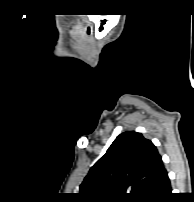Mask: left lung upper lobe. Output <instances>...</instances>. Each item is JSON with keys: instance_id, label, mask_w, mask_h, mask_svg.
Wrapping results in <instances>:
<instances>
[{"instance_id": "left-lung-upper-lobe-1", "label": "left lung upper lobe", "mask_w": 194, "mask_h": 202, "mask_svg": "<svg viewBox=\"0 0 194 202\" xmlns=\"http://www.w3.org/2000/svg\"><path fill=\"white\" fill-rule=\"evenodd\" d=\"M162 157L142 134H120L80 185L84 202H148L165 172Z\"/></svg>"}]
</instances>
